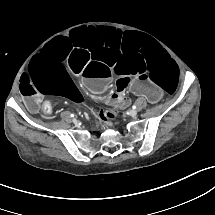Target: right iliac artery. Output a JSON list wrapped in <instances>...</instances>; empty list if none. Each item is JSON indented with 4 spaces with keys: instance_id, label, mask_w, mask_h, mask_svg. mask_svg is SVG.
<instances>
[{
    "instance_id": "right-iliac-artery-1",
    "label": "right iliac artery",
    "mask_w": 215,
    "mask_h": 215,
    "mask_svg": "<svg viewBox=\"0 0 215 215\" xmlns=\"http://www.w3.org/2000/svg\"><path fill=\"white\" fill-rule=\"evenodd\" d=\"M71 117H74V114H70Z\"/></svg>"
}]
</instances>
